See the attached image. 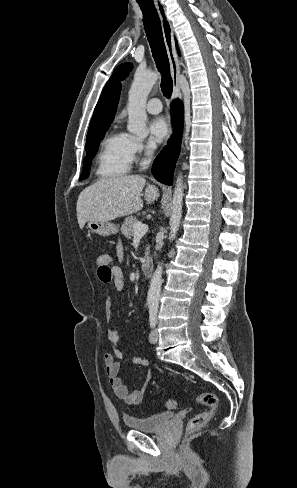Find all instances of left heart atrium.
Wrapping results in <instances>:
<instances>
[{
	"instance_id": "1",
	"label": "left heart atrium",
	"mask_w": 297,
	"mask_h": 488,
	"mask_svg": "<svg viewBox=\"0 0 297 488\" xmlns=\"http://www.w3.org/2000/svg\"><path fill=\"white\" fill-rule=\"evenodd\" d=\"M149 133L154 143L163 142L169 134V126L163 117L153 119L149 123Z\"/></svg>"
}]
</instances>
